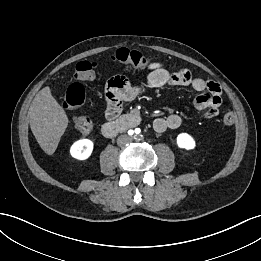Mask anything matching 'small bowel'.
<instances>
[{
    "instance_id": "c3829d8e",
    "label": "small bowel",
    "mask_w": 261,
    "mask_h": 261,
    "mask_svg": "<svg viewBox=\"0 0 261 261\" xmlns=\"http://www.w3.org/2000/svg\"><path fill=\"white\" fill-rule=\"evenodd\" d=\"M164 86L191 87L199 95L194 99V106L199 110H206L205 119H212L218 115V108L222 102V90L219 84L200 77H193L185 68L163 63H153L149 66V73L143 85H132L122 73L113 75L106 87V114L109 119L115 118L125 102L134 100L146 89ZM182 123L178 114L158 117L153 121L155 131L161 133L168 129H176Z\"/></svg>"
}]
</instances>
